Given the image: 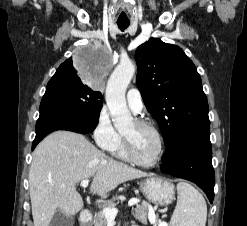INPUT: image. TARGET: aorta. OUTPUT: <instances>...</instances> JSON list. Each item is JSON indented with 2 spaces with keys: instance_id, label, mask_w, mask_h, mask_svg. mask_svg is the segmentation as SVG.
I'll return each mask as SVG.
<instances>
[{
  "instance_id": "obj_1",
  "label": "aorta",
  "mask_w": 247,
  "mask_h": 226,
  "mask_svg": "<svg viewBox=\"0 0 247 226\" xmlns=\"http://www.w3.org/2000/svg\"><path fill=\"white\" fill-rule=\"evenodd\" d=\"M135 69L131 61H121L107 82L106 103L113 124L118 129L130 125L133 119L126 104L125 93L135 74Z\"/></svg>"
}]
</instances>
